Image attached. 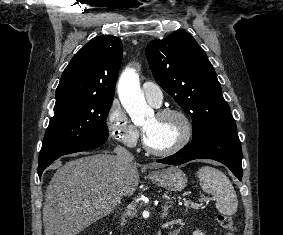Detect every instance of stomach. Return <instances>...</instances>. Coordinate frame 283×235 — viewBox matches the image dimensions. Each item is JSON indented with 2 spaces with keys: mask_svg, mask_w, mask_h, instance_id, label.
I'll list each match as a JSON object with an SVG mask.
<instances>
[{
  "mask_svg": "<svg viewBox=\"0 0 283 235\" xmlns=\"http://www.w3.org/2000/svg\"><path fill=\"white\" fill-rule=\"evenodd\" d=\"M148 176L154 184L171 191H181L187 185L185 173L175 166L151 171Z\"/></svg>",
  "mask_w": 283,
  "mask_h": 235,
  "instance_id": "stomach-1",
  "label": "stomach"
}]
</instances>
